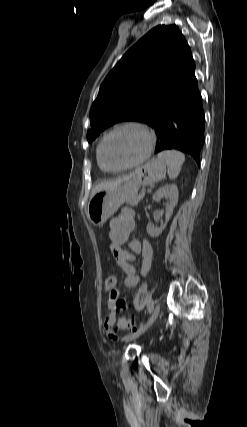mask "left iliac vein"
Segmentation results:
<instances>
[{
  "mask_svg": "<svg viewBox=\"0 0 247 427\" xmlns=\"http://www.w3.org/2000/svg\"><path fill=\"white\" fill-rule=\"evenodd\" d=\"M161 310V306L160 304H157L149 318V320L147 321V323L144 325V327H142L141 329L137 330L136 332L128 335L125 339L126 342H129L131 340H134L136 338H138L140 335H142L152 324L153 322L156 320V318L158 317L159 313Z\"/></svg>",
  "mask_w": 247,
  "mask_h": 427,
  "instance_id": "1",
  "label": "left iliac vein"
}]
</instances>
